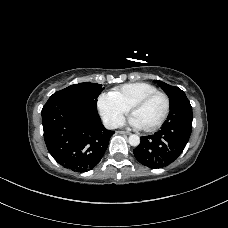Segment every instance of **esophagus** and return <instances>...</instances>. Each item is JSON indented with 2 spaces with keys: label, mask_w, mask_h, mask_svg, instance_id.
Here are the masks:
<instances>
[{
  "label": "esophagus",
  "mask_w": 228,
  "mask_h": 228,
  "mask_svg": "<svg viewBox=\"0 0 228 228\" xmlns=\"http://www.w3.org/2000/svg\"><path fill=\"white\" fill-rule=\"evenodd\" d=\"M116 133L121 135H130V132H126V131H117Z\"/></svg>",
  "instance_id": "esophagus-1"
}]
</instances>
